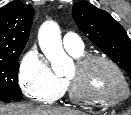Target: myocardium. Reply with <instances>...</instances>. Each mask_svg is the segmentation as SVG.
<instances>
[{"label": "myocardium", "instance_id": "f54148a6", "mask_svg": "<svg viewBox=\"0 0 131 115\" xmlns=\"http://www.w3.org/2000/svg\"><path fill=\"white\" fill-rule=\"evenodd\" d=\"M97 62H101L110 66L118 74L123 84L122 95L117 98H102L91 93L84 92L77 81H74L71 78H67L66 84L69 97L75 102L100 106H113L125 101L129 97L130 93L129 83L122 69L110 58L102 55L83 56L76 60L75 68L77 72L82 73L90 65Z\"/></svg>", "mask_w": 131, "mask_h": 115}]
</instances>
